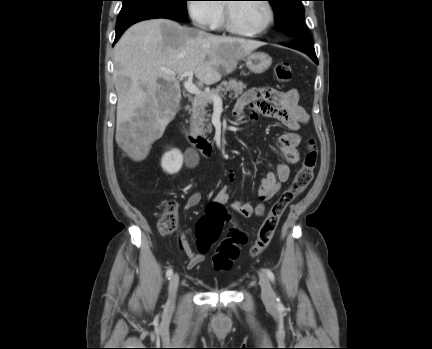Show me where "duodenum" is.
<instances>
[{"mask_svg":"<svg viewBox=\"0 0 432 349\" xmlns=\"http://www.w3.org/2000/svg\"><path fill=\"white\" fill-rule=\"evenodd\" d=\"M183 130L187 140L196 148L202 156L209 157L213 154L214 147L212 143L204 136L191 130L187 125H183Z\"/></svg>","mask_w":432,"mask_h":349,"instance_id":"duodenum-1","label":"duodenum"}]
</instances>
